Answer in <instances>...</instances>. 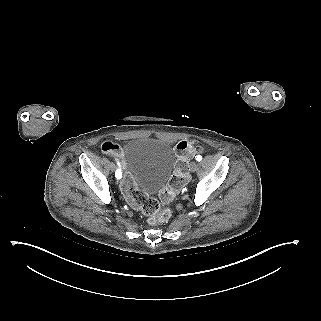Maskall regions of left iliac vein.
<instances>
[{"label": "left iliac vein", "mask_w": 321, "mask_h": 321, "mask_svg": "<svg viewBox=\"0 0 321 321\" xmlns=\"http://www.w3.org/2000/svg\"><path fill=\"white\" fill-rule=\"evenodd\" d=\"M198 168V165L196 162H192L191 165H190V170L191 172H195Z\"/></svg>", "instance_id": "4c4485c4"}]
</instances>
